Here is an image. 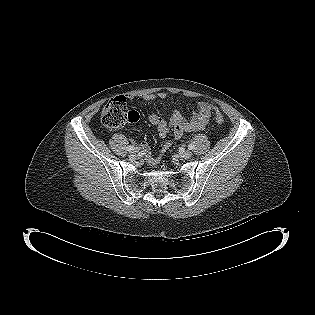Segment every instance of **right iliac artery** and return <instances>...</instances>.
Returning a JSON list of instances; mask_svg holds the SVG:
<instances>
[{"label": "right iliac artery", "instance_id": "82829eb1", "mask_svg": "<svg viewBox=\"0 0 315 315\" xmlns=\"http://www.w3.org/2000/svg\"><path fill=\"white\" fill-rule=\"evenodd\" d=\"M134 146L130 145L127 147V151L132 152L134 150Z\"/></svg>", "mask_w": 315, "mask_h": 315}]
</instances>
